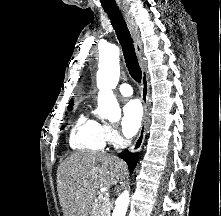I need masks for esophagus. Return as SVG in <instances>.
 I'll return each instance as SVG.
<instances>
[{
  "instance_id": "34e87169",
  "label": "esophagus",
  "mask_w": 221,
  "mask_h": 216,
  "mask_svg": "<svg viewBox=\"0 0 221 216\" xmlns=\"http://www.w3.org/2000/svg\"><path fill=\"white\" fill-rule=\"evenodd\" d=\"M127 26L131 32L133 41H134V46L136 53L139 57V59H142V44L140 41V34L138 27L133 19L132 14L130 11L123 9L121 11ZM148 96H149V83H148V77H147V72L143 68V74H142V85H141V101L143 104V119H142V124L138 133L137 138L135 139L133 145L130 148V151L132 153H136L140 151L144 139H145V134H146V122H147V111H148Z\"/></svg>"
}]
</instances>
